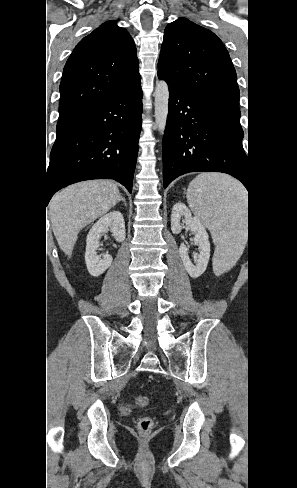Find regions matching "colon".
<instances>
[{
	"label": "colon",
	"instance_id": "1",
	"mask_svg": "<svg viewBox=\"0 0 297 488\" xmlns=\"http://www.w3.org/2000/svg\"><path fill=\"white\" fill-rule=\"evenodd\" d=\"M137 405L146 406L149 403V398L145 395H138L135 398ZM153 428V420L149 416L142 417L138 422V430L143 433H149Z\"/></svg>",
	"mask_w": 297,
	"mask_h": 488
}]
</instances>
